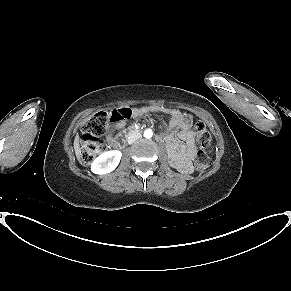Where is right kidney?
<instances>
[{
	"label": "right kidney",
	"instance_id": "right-kidney-1",
	"mask_svg": "<svg viewBox=\"0 0 291 291\" xmlns=\"http://www.w3.org/2000/svg\"><path fill=\"white\" fill-rule=\"evenodd\" d=\"M122 153L119 150L107 151L99 155L91 165V171L95 174L110 173L119 165Z\"/></svg>",
	"mask_w": 291,
	"mask_h": 291
}]
</instances>
